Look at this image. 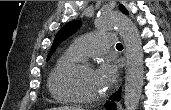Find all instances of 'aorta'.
<instances>
[{"instance_id": "1", "label": "aorta", "mask_w": 171, "mask_h": 110, "mask_svg": "<svg viewBox=\"0 0 171 110\" xmlns=\"http://www.w3.org/2000/svg\"><path fill=\"white\" fill-rule=\"evenodd\" d=\"M99 30H117L126 48L124 104L126 110H137L143 87L144 61L138 28L132 20L117 12L102 14L96 20Z\"/></svg>"}]
</instances>
